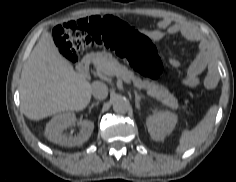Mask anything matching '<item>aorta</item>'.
Returning <instances> with one entry per match:
<instances>
[{
	"mask_svg": "<svg viewBox=\"0 0 236 182\" xmlns=\"http://www.w3.org/2000/svg\"><path fill=\"white\" fill-rule=\"evenodd\" d=\"M112 105L113 110L120 114L126 113L130 106L128 100L122 96L115 97L113 99Z\"/></svg>",
	"mask_w": 236,
	"mask_h": 182,
	"instance_id": "762f6f07",
	"label": "aorta"
}]
</instances>
